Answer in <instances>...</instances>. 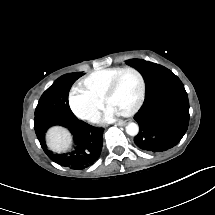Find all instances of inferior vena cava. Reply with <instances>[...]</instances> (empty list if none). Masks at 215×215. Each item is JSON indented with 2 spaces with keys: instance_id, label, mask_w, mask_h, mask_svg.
<instances>
[{
  "instance_id": "obj_1",
  "label": "inferior vena cava",
  "mask_w": 215,
  "mask_h": 215,
  "mask_svg": "<svg viewBox=\"0 0 215 215\" xmlns=\"http://www.w3.org/2000/svg\"><path fill=\"white\" fill-rule=\"evenodd\" d=\"M100 118H101V115H100L99 111L91 113V114L88 115V120L90 122H93V123L99 122Z\"/></svg>"
}]
</instances>
